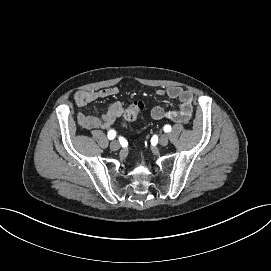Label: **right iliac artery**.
I'll use <instances>...</instances> for the list:
<instances>
[{
    "label": "right iliac artery",
    "mask_w": 271,
    "mask_h": 271,
    "mask_svg": "<svg viewBox=\"0 0 271 271\" xmlns=\"http://www.w3.org/2000/svg\"><path fill=\"white\" fill-rule=\"evenodd\" d=\"M115 136H116V132H115L114 130H110V131L108 132V138H109L110 140L114 139Z\"/></svg>",
    "instance_id": "obj_1"
}]
</instances>
